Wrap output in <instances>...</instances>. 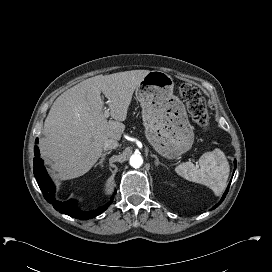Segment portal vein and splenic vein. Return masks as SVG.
Instances as JSON below:
<instances>
[{
    "instance_id": "1",
    "label": "portal vein and splenic vein",
    "mask_w": 272,
    "mask_h": 272,
    "mask_svg": "<svg viewBox=\"0 0 272 272\" xmlns=\"http://www.w3.org/2000/svg\"><path fill=\"white\" fill-rule=\"evenodd\" d=\"M109 117V109L105 108L104 110V118H108Z\"/></svg>"
}]
</instances>
